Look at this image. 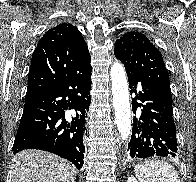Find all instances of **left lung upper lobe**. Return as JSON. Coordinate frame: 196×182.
I'll list each match as a JSON object with an SVG mask.
<instances>
[{
  "label": "left lung upper lobe",
  "instance_id": "5c2ea615",
  "mask_svg": "<svg viewBox=\"0 0 196 182\" xmlns=\"http://www.w3.org/2000/svg\"><path fill=\"white\" fill-rule=\"evenodd\" d=\"M114 54L125 68L140 74L146 81L172 99L170 82L161 52L141 32H128L115 42Z\"/></svg>",
  "mask_w": 196,
  "mask_h": 182
}]
</instances>
